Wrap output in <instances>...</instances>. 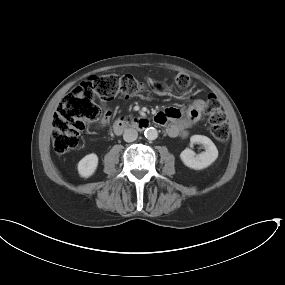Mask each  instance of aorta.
<instances>
[{
    "label": "aorta",
    "mask_w": 285,
    "mask_h": 285,
    "mask_svg": "<svg viewBox=\"0 0 285 285\" xmlns=\"http://www.w3.org/2000/svg\"><path fill=\"white\" fill-rule=\"evenodd\" d=\"M144 135L148 140H155L158 137V132L154 127L146 128Z\"/></svg>",
    "instance_id": "aorta-1"
}]
</instances>
